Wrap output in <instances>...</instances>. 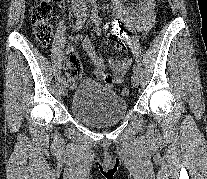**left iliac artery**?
Returning a JSON list of instances; mask_svg holds the SVG:
<instances>
[{"label":"left iliac artery","mask_w":207,"mask_h":179,"mask_svg":"<svg viewBox=\"0 0 207 179\" xmlns=\"http://www.w3.org/2000/svg\"><path fill=\"white\" fill-rule=\"evenodd\" d=\"M91 18L93 20V22L96 24V25H99L101 23L100 21V17L98 16V10L95 9L92 11V15H91ZM133 72L138 74V68L136 66L133 67Z\"/></svg>","instance_id":"1"}]
</instances>
